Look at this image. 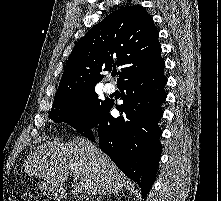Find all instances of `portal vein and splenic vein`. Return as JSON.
<instances>
[{
    "instance_id": "1",
    "label": "portal vein and splenic vein",
    "mask_w": 221,
    "mask_h": 201,
    "mask_svg": "<svg viewBox=\"0 0 221 201\" xmlns=\"http://www.w3.org/2000/svg\"><path fill=\"white\" fill-rule=\"evenodd\" d=\"M76 180V179H75ZM73 189L77 194H81L84 190L82 182H78L76 180L75 184L73 185Z\"/></svg>"
}]
</instances>
